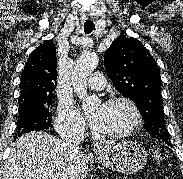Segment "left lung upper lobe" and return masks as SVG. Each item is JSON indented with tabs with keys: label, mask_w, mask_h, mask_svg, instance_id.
<instances>
[{
	"label": "left lung upper lobe",
	"mask_w": 183,
	"mask_h": 179,
	"mask_svg": "<svg viewBox=\"0 0 183 179\" xmlns=\"http://www.w3.org/2000/svg\"><path fill=\"white\" fill-rule=\"evenodd\" d=\"M104 65L116 90L131 99L145 121L144 128L163 142L170 141L161 96V77L157 63L140 41L116 38L104 55Z\"/></svg>",
	"instance_id": "1"
}]
</instances>
